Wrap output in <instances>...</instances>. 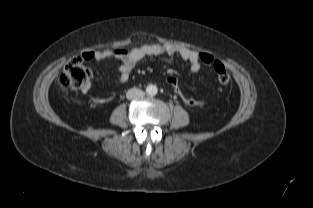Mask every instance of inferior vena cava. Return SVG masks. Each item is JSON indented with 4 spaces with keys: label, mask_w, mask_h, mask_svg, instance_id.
Instances as JSON below:
<instances>
[{
    "label": "inferior vena cava",
    "mask_w": 313,
    "mask_h": 208,
    "mask_svg": "<svg viewBox=\"0 0 313 208\" xmlns=\"http://www.w3.org/2000/svg\"><path fill=\"white\" fill-rule=\"evenodd\" d=\"M144 95L145 93L138 88H131L126 93L127 99H140L144 97Z\"/></svg>",
    "instance_id": "602c4592"
}]
</instances>
